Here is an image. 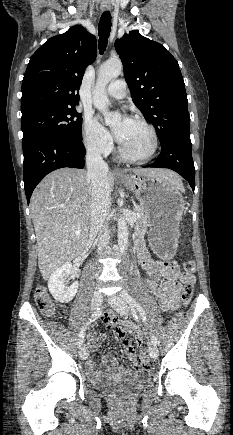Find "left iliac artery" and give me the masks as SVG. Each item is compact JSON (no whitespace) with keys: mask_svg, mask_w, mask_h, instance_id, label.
I'll list each match as a JSON object with an SVG mask.
<instances>
[{"mask_svg":"<svg viewBox=\"0 0 233 435\" xmlns=\"http://www.w3.org/2000/svg\"><path fill=\"white\" fill-rule=\"evenodd\" d=\"M121 297L131 306V307H135L139 314L140 317L142 319V321L147 325V320H146V315H145V311L143 310L142 306L130 295L128 294L127 291H122L121 292ZM151 337V341L152 344L156 345L157 344V339L153 334H150Z\"/></svg>","mask_w":233,"mask_h":435,"instance_id":"left-iliac-artery-1","label":"left iliac artery"}]
</instances>
